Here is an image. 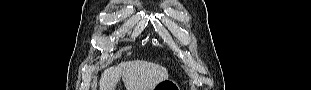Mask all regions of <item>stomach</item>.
Segmentation results:
<instances>
[{
    "label": "stomach",
    "mask_w": 311,
    "mask_h": 90,
    "mask_svg": "<svg viewBox=\"0 0 311 90\" xmlns=\"http://www.w3.org/2000/svg\"><path fill=\"white\" fill-rule=\"evenodd\" d=\"M154 90H180L175 81L166 79L157 84Z\"/></svg>",
    "instance_id": "0dacf381"
}]
</instances>
